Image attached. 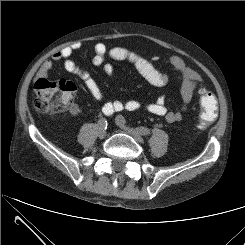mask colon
Here are the masks:
<instances>
[{
    "instance_id": "obj_1",
    "label": "colon",
    "mask_w": 245,
    "mask_h": 245,
    "mask_svg": "<svg viewBox=\"0 0 245 245\" xmlns=\"http://www.w3.org/2000/svg\"><path fill=\"white\" fill-rule=\"evenodd\" d=\"M75 85L67 80L39 79L34 86V107L40 113L60 114L70 110L75 95ZM201 113L199 124L206 127L217 117L214 94L206 88L200 91Z\"/></svg>"
}]
</instances>
